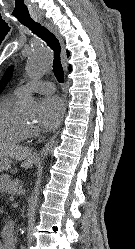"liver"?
I'll list each match as a JSON object with an SVG mask.
<instances>
[{"instance_id":"liver-1","label":"liver","mask_w":135,"mask_h":249,"mask_svg":"<svg viewBox=\"0 0 135 249\" xmlns=\"http://www.w3.org/2000/svg\"><path fill=\"white\" fill-rule=\"evenodd\" d=\"M0 155L23 161L21 166L25 169L31 168L33 164L38 162V158L32 154V149L28 147L0 143Z\"/></svg>"}]
</instances>
